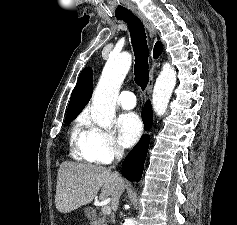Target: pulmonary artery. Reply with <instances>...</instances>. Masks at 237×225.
Returning a JSON list of instances; mask_svg holds the SVG:
<instances>
[{
    "mask_svg": "<svg viewBox=\"0 0 237 225\" xmlns=\"http://www.w3.org/2000/svg\"><path fill=\"white\" fill-rule=\"evenodd\" d=\"M118 103L123 109H132L136 105V98L132 92L123 91L118 97Z\"/></svg>",
    "mask_w": 237,
    "mask_h": 225,
    "instance_id": "pulmonary-artery-1",
    "label": "pulmonary artery"
}]
</instances>
